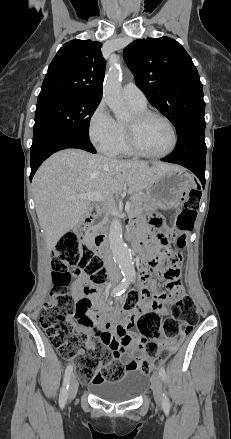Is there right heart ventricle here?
Wrapping results in <instances>:
<instances>
[{"label": "right heart ventricle", "instance_id": "obj_1", "mask_svg": "<svg viewBox=\"0 0 231 439\" xmlns=\"http://www.w3.org/2000/svg\"><path fill=\"white\" fill-rule=\"evenodd\" d=\"M130 105L132 106L134 112L146 110V106H138V105H135L132 103H130ZM117 126H118V132H119L118 141H117L116 145L110 151L107 152V154H109V155H123V156L132 155L133 153L129 149L128 143H127L126 124L122 123V122H118Z\"/></svg>", "mask_w": 231, "mask_h": 439}]
</instances>
